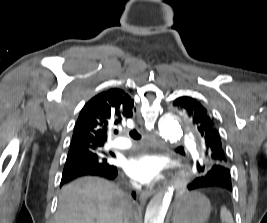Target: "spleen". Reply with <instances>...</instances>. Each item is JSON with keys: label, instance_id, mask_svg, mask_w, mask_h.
<instances>
[{"label": "spleen", "instance_id": "1", "mask_svg": "<svg viewBox=\"0 0 267 223\" xmlns=\"http://www.w3.org/2000/svg\"><path fill=\"white\" fill-rule=\"evenodd\" d=\"M220 218L222 223H234L231 213L223 206L220 210Z\"/></svg>", "mask_w": 267, "mask_h": 223}]
</instances>
